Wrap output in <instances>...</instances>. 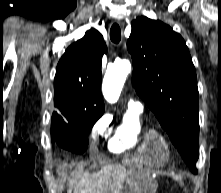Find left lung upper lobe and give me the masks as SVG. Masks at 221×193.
I'll return each instance as SVG.
<instances>
[{
	"instance_id": "1",
	"label": "left lung upper lobe",
	"mask_w": 221,
	"mask_h": 193,
	"mask_svg": "<svg viewBox=\"0 0 221 193\" xmlns=\"http://www.w3.org/2000/svg\"><path fill=\"white\" fill-rule=\"evenodd\" d=\"M132 83L168 133L185 163L199 157V93L184 39L161 21L139 17L127 41Z\"/></svg>"
}]
</instances>
